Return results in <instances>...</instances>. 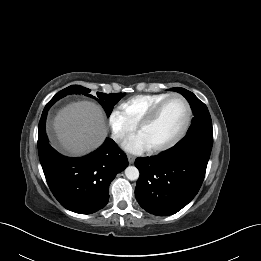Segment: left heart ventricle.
Returning a JSON list of instances; mask_svg holds the SVG:
<instances>
[{"label": "left heart ventricle", "mask_w": 261, "mask_h": 261, "mask_svg": "<svg viewBox=\"0 0 261 261\" xmlns=\"http://www.w3.org/2000/svg\"><path fill=\"white\" fill-rule=\"evenodd\" d=\"M186 117V110L179 99L169 101L157 118L142 128L139 134L148 147L159 146L169 142L181 130Z\"/></svg>", "instance_id": "b2bd125f"}]
</instances>
